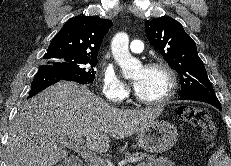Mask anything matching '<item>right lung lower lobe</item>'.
Instances as JSON below:
<instances>
[{
    "label": "right lung lower lobe",
    "mask_w": 231,
    "mask_h": 166,
    "mask_svg": "<svg viewBox=\"0 0 231 166\" xmlns=\"http://www.w3.org/2000/svg\"><path fill=\"white\" fill-rule=\"evenodd\" d=\"M60 80L75 81L81 84L90 83L80 75L67 72L51 65H41L31 83V91L28 98H31L48 86L57 83Z\"/></svg>",
    "instance_id": "right-lung-lower-lobe-1"
}]
</instances>
